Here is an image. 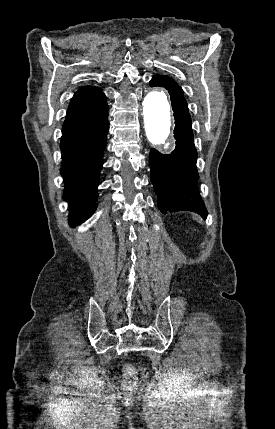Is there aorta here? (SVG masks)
Returning <instances> with one entry per match:
<instances>
[{"label":"aorta","instance_id":"obj_1","mask_svg":"<svg viewBox=\"0 0 275 429\" xmlns=\"http://www.w3.org/2000/svg\"><path fill=\"white\" fill-rule=\"evenodd\" d=\"M145 132L154 145L164 144L167 148L172 129V112L167 92L163 88L150 89L143 101Z\"/></svg>","mask_w":275,"mask_h":429}]
</instances>
